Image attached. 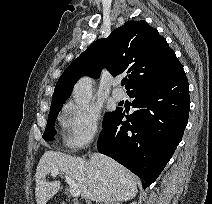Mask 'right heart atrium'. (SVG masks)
Masks as SVG:
<instances>
[{
  "mask_svg": "<svg viewBox=\"0 0 212 204\" xmlns=\"http://www.w3.org/2000/svg\"><path fill=\"white\" fill-rule=\"evenodd\" d=\"M100 111L90 105L68 103L62 115L64 142L72 150L83 148L99 134Z\"/></svg>",
  "mask_w": 212,
  "mask_h": 204,
  "instance_id": "right-heart-atrium-1",
  "label": "right heart atrium"
}]
</instances>
